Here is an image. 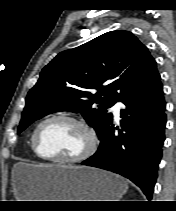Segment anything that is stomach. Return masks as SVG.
I'll list each match as a JSON object with an SVG mask.
<instances>
[{
    "label": "stomach",
    "mask_w": 176,
    "mask_h": 211,
    "mask_svg": "<svg viewBox=\"0 0 176 211\" xmlns=\"http://www.w3.org/2000/svg\"><path fill=\"white\" fill-rule=\"evenodd\" d=\"M12 187L18 201H119L128 185L121 176L96 168L19 163Z\"/></svg>",
    "instance_id": "0dacf381"
}]
</instances>
